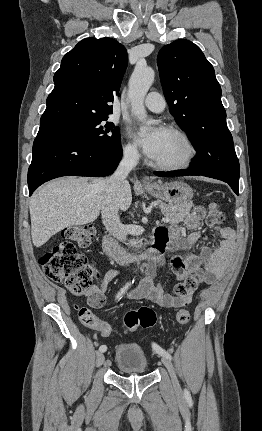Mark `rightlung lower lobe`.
Masks as SVG:
<instances>
[{
  "mask_svg": "<svg viewBox=\"0 0 262 431\" xmlns=\"http://www.w3.org/2000/svg\"><path fill=\"white\" fill-rule=\"evenodd\" d=\"M121 157V143L106 147L64 133L39 131L28 170L29 193L31 195L44 182L61 176L110 175Z\"/></svg>",
  "mask_w": 262,
  "mask_h": 431,
  "instance_id": "obj_1",
  "label": "right lung lower lobe"
}]
</instances>
